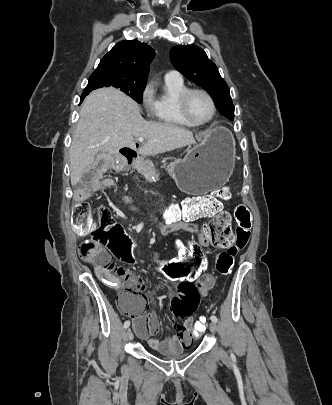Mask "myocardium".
I'll use <instances>...</instances> for the list:
<instances>
[{
  "label": "myocardium",
  "instance_id": "myocardium-1",
  "mask_svg": "<svg viewBox=\"0 0 332 405\" xmlns=\"http://www.w3.org/2000/svg\"><path fill=\"white\" fill-rule=\"evenodd\" d=\"M194 93H200V94L204 95V96L210 101V103H211V105H212V114H211V116H210L207 120H205V121H200V122H199V121H195V120L191 117V115H190V113H189V110H188V102H189L190 96H191L192 94H194ZM178 106H179V111H180V114L182 115V117H183L187 122H189L190 124H192L193 126H204V125H207V124L211 123V122L214 120V118H215V116H216V114H217V105H216V102H215L213 96H212L209 92H207L206 90L201 89V88H187V89H186L184 92H182L181 95L179 96V99H178Z\"/></svg>",
  "mask_w": 332,
  "mask_h": 405
}]
</instances>
